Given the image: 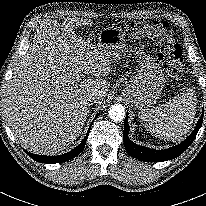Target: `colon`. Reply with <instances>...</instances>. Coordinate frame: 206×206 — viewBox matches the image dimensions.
Listing matches in <instances>:
<instances>
[{"label": "colon", "mask_w": 206, "mask_h": 206, "mask_svg": "<svg viewBox=\"0 0 206 206\" xmlns=\"http://www.w3.org/2000/svg\"><path fill=\"white\" fill-rule=\"evenodd\" d=\"M132 37L149 36L155 41L158 59L166 72L173 78H180L184 73L182 52L176 44L170 26L160 20H136L129 27Z\"/></svg>", "instance_id": "colon-1"}]
</instances>
